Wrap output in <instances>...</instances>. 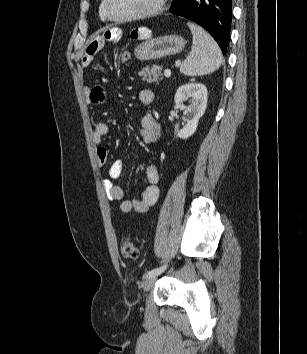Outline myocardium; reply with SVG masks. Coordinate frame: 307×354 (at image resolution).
<instances>
[{"mask_svg":"<svg viewBox=\"0 0 307 354\" xmlns=\"http://www.w3.org/2000/svg\"><path fill=\"white\" fill-rule=\"evenodd\" d=\"M103 1H104L105 12L111 20L117 22H129V21L149 18L159 14L163 10L167 0H156L155 4L148 10L133 15H127V16L116 15L112 11L110 0H103Z\"/></svg>","mask_w":307,"mask_h":354,"instance_id":"obj_1","label":"myocardium"}]
</instances>
